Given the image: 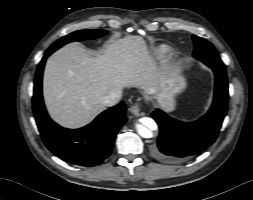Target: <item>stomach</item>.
<instances>
[{
    "label": "stomach",
    "mask_w": 253,
    "mask_h": 200,
    "mask_svg": "<svg viewBox=\"0 0 253 200\" xmlns=\"http://www.w3.org/2000/svg\"><path fill=\"white\" fill-rule=\"evenodd\" d=\"M158 91L155 98L168 112L175 109V97L186 87V80L179 67L162 63L158 72Z\"/></svg>",
    "instance_id": "1"
}]
</instances>
